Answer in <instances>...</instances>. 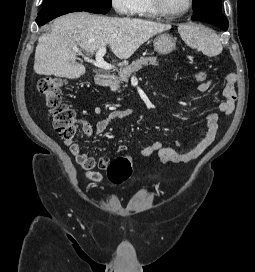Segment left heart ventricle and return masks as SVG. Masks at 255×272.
I'll use <instances>...</instances> for the list:
<instances>
[{
  "instance_id": "obj_1",
  "label": "left heart ventricle",
  "mask_w": 255,
  "mask_h": 272,
  "mask_svg": "<svg viewBox=\"0 0 255 272\" xmlns=\"http://www.w3.org/2000/svg\"><path fill=\"white\" fill-rule=\"evenodd\" d=\"M165 8L170 12H180L188 5V0H163Z\"/></svg>"
}]
</instances>
